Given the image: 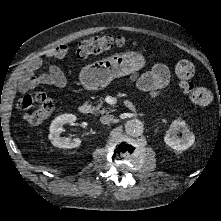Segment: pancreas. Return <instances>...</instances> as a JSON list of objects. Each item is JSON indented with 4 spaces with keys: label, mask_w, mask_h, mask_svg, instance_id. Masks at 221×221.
Instances as JSON below:
<instances>
[{
    "label": "pancreas",
    "mask_w": 221,
    "mask_h": 221,
    "mask_svg": "<svg viewBox=\"0 0 221 221\" xmlns=\"http://www.w3.org/2000/svg\"><path fill=\"white\" fill-rule=\"evenodd\" d=\"M136 79V76H133L131 78L132 81H134ZM110 110H106L104 107H103V101L100 99L99 100V104L96 106V107H93L91 109V112L95 115H98V114H104V113H107L109 112Z\"/></svg>",
    "instance_id": "cf45deb5"
}]
</instances>
